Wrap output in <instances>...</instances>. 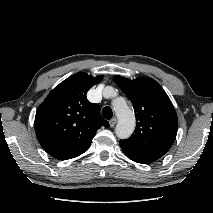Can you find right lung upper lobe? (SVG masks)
I'll return each instance as SVG.
<instances>
[{"label": "right lung upper lobe", "mask_w": 213, "mask_h": 213, "mask_svg": "<svg viewBox=\"0 0 213 213\" xmlns=\"http://www.w3.org/2000/svg\"><path fill=\"white\" fill-rule=\"evenodd\" d=\"M103 76L77 73L55 87L35 116V132L44 150L58 160L77 157L88 150L96 131L109 123L100 106L87 100V91Z\"/></svg>", "instance_id": "right-lung-upper-lobe-1"}]
</instances>
